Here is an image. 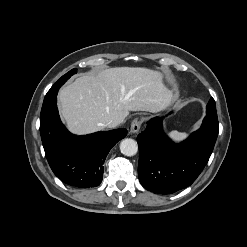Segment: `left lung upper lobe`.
Listing matches in <instances>:
<instances>
[{
  "instance_id": "obj_1",
  "label": "left lung upper lobe",
  "mask_w": 247,
  "mask_h": 247,
  "mask_svg": "<svg viewBox=\"0 0 247 247\" xmlns=\"http://www.w3.org/2000/svg\"><path fill=\"white\" fill-rule=\"evenodd\" d=\"M203 122H205L211 126L218 127L216 105H215V101L213 98L210 99V101L207 105L206 116H205Z\"/></svg>"
}]
</instances>
